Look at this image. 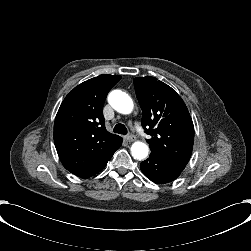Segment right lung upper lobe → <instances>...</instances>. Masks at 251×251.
Returning <instances> with one entry per match:
<instances>
[{"instance_id":"1","label":"right lung upper lobe","mask_w":251,"mask_h":251,"mask_svg":"<svg viewBox=\"0 0 251 251\" xmlns=\"http://www.w3.org/2000/svg\"><path fill=\"white\" fill-rule=\"evenodd\" d=\"M119 75L102 74L75 87L62 102L54 123V143L63 166L80 178L100 172L122 138L105 128L103 105Z\"/></svg>"}]
</instances>
